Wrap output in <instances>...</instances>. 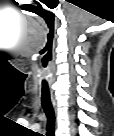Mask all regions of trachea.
I'll list each match as a JSON object with an SVG mask.
<instances>
[{"instance_id":"3493384b","label":"trachea","mask_w":114,"mask_h":136,"mask_svg":"<svg viewBox=\"0 0 114 136\" xmlns=\"http://www.w3.org/2000/svg\"><path fill=\"white\" fill-rule=\"evenodd\" d=\"M41 91V102L47 116V132L48 136H52L51 133L54 131V110L50 99L48 83L45 80L42 81Z\"/></svg>"}]
</instances>
